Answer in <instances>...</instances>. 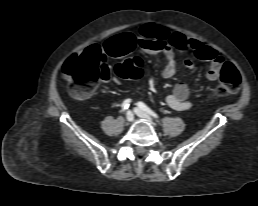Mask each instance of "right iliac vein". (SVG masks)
Masks as SVG:
<instances>
[{
    "mask_svg": "<svg viewBox=\"0 0 258 206\" xmlns=\"http://www.w3.org/2000/svg\"><path fill=\"white\" fill-rule=\"evenodd\" d=\"M126 119H127L128 122H132L134 120V114H133L132 111H128L126 113Z\"/></svg>",
    "mask_w": 258,
    "mask_h": 206,
    "instance_id": "63e3f726",
    "label": "right iliac vein"
}]
</instances>
